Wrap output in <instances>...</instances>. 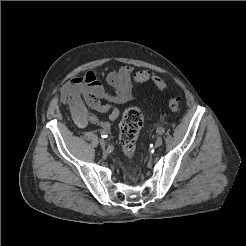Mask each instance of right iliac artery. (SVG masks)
<instances>
[{"mask_svg":"<svg viewBox=\"0 0 246 246\" xmlns=\"http://www.w3.org/2000/svg\"><path fill=\"white\" fill-rule=\"evenodd\" d=\"M107 132L106 131H101V137L102 138H107Z\"/></svg>","mask_w":246,"mask_h":246,"instance_id":"82829eb1","label":"right iliac artery"}]
</instances>
